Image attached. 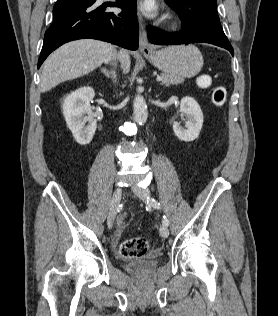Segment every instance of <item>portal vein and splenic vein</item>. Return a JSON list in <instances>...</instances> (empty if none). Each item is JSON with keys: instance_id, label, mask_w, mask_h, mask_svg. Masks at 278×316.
Segmentation results:
<instances>
[{"instance_id": "1", "label": "portal vein and splenic vein", "mask_w": 278, "mask_h": 316, "mask_svg": "<svg viewBox=\"0 0 278 316\" xmlns=\"http://www.w3.org/2000/svg\"><path fill=\"white\" fill-rule=\"evenodd\" d=\"M156 80H157V82H160V81L163 80V77H162V76H158V77L156 78Z\"/></svg>"}]
</instances>
